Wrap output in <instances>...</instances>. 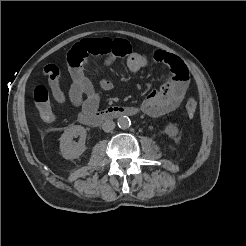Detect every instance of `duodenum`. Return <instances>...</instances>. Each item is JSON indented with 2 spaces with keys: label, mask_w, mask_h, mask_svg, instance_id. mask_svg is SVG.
I'll return each mask as SVG.
<instances>
[{
  "label": "duodenum",
  "mask_w": 246,
  "mask_h": 246,
  "mask_svg": "<svg viewBox=\"0 0 246 246\" xmlns=\"http://www.w3.org/2000/svg\"><path fill=\"white\" fill-rule=\"evenodd\" d=\"M137 113L138 109L134 106H110L101 111L82 112L79 121L90 127H99L105 121L122 116H134Z\"/></svg>",
  "instance_id": "410a0bca"
}]
</instances>
